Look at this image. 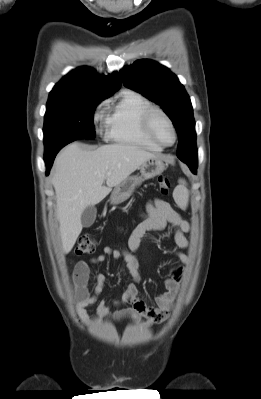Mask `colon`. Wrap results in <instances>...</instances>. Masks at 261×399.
<instances>
[{"instance_id":"colon-1","label":"colon","mask_w":261,"mask_h":399,"mask_svg":"<svg viewBox=\"0 0 261 399\" xmlns=\"http://www.w3.org/2000/svg\"><path fill=\"white\" fill-rule=\"evenodd\" d=\"M158 187L160 192L168 193L171 187L170 177L167 175H161L158 178ZM96 247L95 240L89 234H82L77 240L75 252L78 255L89 254L94 251Z\"/></svg>"}]
</instances>
